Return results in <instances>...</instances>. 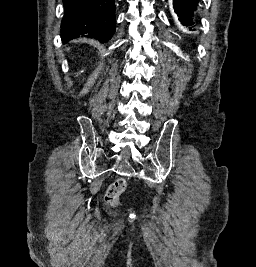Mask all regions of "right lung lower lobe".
I'll list each match as a JSON object with an SVG mask.
<instances>
[{
    "mask_svg": "<svg viewBox=\"0 0 256 267\" xmlns=\"http://www.w3.org/2000/svg\"><path fill=\"white\" fill-rule=\"evenodd\" d=\"M115 0H63L61 38L67 43L79 35L108 41L115 32Z\"/></svg>",
    "mask_w": 256,
    "mask_h": 267,
    "instance_id": "right-lung-lower-lobe-1",
    "label": "right lung lower lobe"
}]
</instances>
